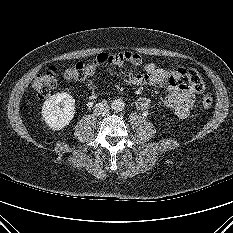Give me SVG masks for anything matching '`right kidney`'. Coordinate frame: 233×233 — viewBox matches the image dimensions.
I'll return each mask as SVG.
<instances>
[{"instance_id":"ca27d5eb","label":"right kidney","mask_w":233,"mask_h":233,"mask_svg":"<svg viewBox=\"0 0 233 233\" xmlns=\"http://www.w3.org/2000/svg\"><path fill=\"white\" fill-rule=\"evenodd\" d=\"M41 113L43 120L52 130H61L74 118L75 99L65 92L56 93L44 102Z\"/></svg>"}]
</instances>
